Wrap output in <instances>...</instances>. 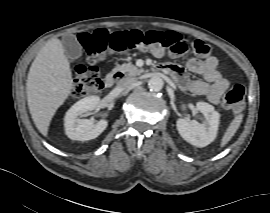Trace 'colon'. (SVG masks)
Listing matches in <instances>:
<instances>
[{
	"label": "colon",
	"instance_id": "colon-1",
	"mask_svg": "<svg viewBox=\"0 0 270 213\" xmlns=\"http://www.w3.org/2000/svg\"><path fill=\"white\" fill-rule=\"evenodd\" d=\"M79 41L87 54L88 66L75 68L73 95L84 97L103 88L101 75L94 66L108 52H122L128 49L147 51L158 57L169 54L188 52L203 56L208 52V45L200 40H189L173 31H139L131 30L110 34L105 29L84 32ZM244 87L234 84L226 92L222 100L225 109H241L244 104Z\"/></svg>",
	"mask_w": 270,
	"mask_h": 213
}]
</instances>
